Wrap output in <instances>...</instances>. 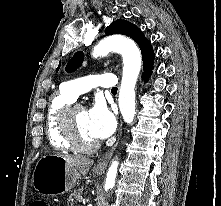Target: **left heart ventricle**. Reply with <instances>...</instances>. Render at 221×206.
<instances>
[{
    "mask_svg": "<svg viewBox=\"0 0 221 206\" xmlns=\"http://www.w3.org/2000/svg\"><path fill=\"white\" fill-rule=\"evenodd\" d=\"M74 119L82 139L87 143L95 141L96 139L92 136L88 128L87 112L82 109L76 110L74 113Z\"/></svg>",
    "mask_w": 221,
    "mask_h": 206,
    "instance_id": "left-heart-ventricle-1",
    "label": "left heart ventricle"
}]
</instances>
